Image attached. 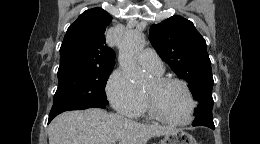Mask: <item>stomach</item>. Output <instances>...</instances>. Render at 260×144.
I'll return each mask as SVG.
<instances>
[{"instance_id":"0dacf381","label":"stomach","mask_w":260,"mask_h":144,"mask_svg":"<svg viewBox=\"0 0 260 144\" xmlns=\"http://www.w3.org/2000/svg\"><path fill=\"white\" fill-rule=\"evenodd\" d=\"M161 144H197V142L189 133L181 129H176L175 131L166 134L161 140Z\"/></svg>"}]
</instances>
